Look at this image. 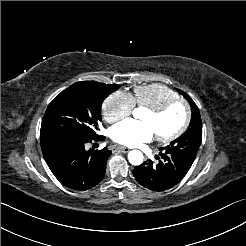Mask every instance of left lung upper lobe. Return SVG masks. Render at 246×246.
Instances as JSON below:
<instances>
[{
  "mask_svg": "<svg viewBox=\"0 0 246 246\" xmlns=\"http://www.w3.org/2000/svg\"><path fill=\"white\" fill-rule=\"evenodd\" d=\"M176 90L181 93L190 103L192 117L189 124V129L183 135L164 147L163 150L165 149L169 152H181L194 160L202 140V123L200 112L197 105L188 94L179 89Z\"/></svg>",
  "mask_w": 246,
  "mask_h": 246,
  "instance_id": "1",
  "label": "left lung upper lobe"
}]
</instances>
